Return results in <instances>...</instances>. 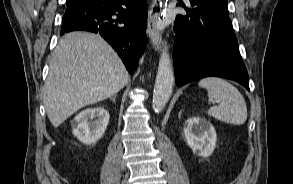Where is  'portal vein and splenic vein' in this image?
<instances>
[{"instance_id":"1","label":"portal vein and splenic vein","mask_w":293,"mask_h":184,"mask_svg":"<svg viewBox=\"0 0 293 184\" xmlns=\"http://www.w3.org/2000/svg\"><path fill=\"white\" fill-rule=\"evenodd\" d=\"M210 103L215 104L218 103V101H210Z\"/></svg>"}]
</instances>
